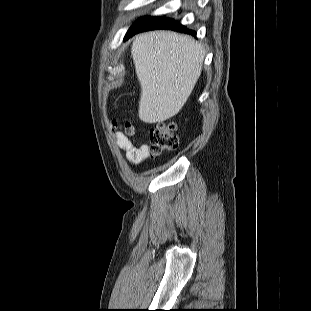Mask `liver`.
Wrapping results in <instances>:
<instances>
[{
    "label": "liver",
    "instance_id": "obj_1",
    "mask_svg": "<svg viewBox=\"0 0 311 311\" xmlns=\"http://www.w3.org/2000/svg\"><path fill=\"white\" fill-rule=\"evenodd\" d=\"M131 55L141 87L140 120L160 123L178 114L200 77L203 46L189 35L151 31L135 37Z\"/></svg>",
    "mask_w": 311,
    "mask_h": 311
}]
</instances>
